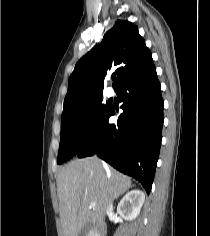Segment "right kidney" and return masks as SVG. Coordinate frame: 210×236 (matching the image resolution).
<instances>
[{
	"mask_svg": "<svg viewBox=\"0 0 210 236\" xmlns=\"http://www.w3.org/2000/svg\"><path fill=\"white\" fill-rule=\"evenodd\" d=\"M144 201L145 194L141 190H132L121 199L117 206V212L124 219L131 221L139 215Z\"/></svg>",
	"mask_w": 210,
	"mask_h": 236,
	"instance_id": "right-kidney-1",
	"label": "right kidney"
}]
</instances>
